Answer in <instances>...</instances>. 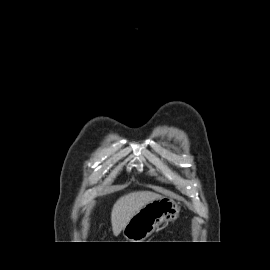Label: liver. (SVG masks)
<instances>
[{
  "mask_svg": "<svg viewBox=\"0 0 270 270\" xmlns=\"http://www.w3.org/2000/svg\"><path fill=\"white\" fill-rule=\"evenodd\" d=\"M161 197V195L151 191H135L120 197L111 211L113 234L118 236L137 211Z\"/></svg>",
  "mask_w": 270,
  "mask_h": 270,
  "instance_id": "liver-1",
  "label": "liver"
}]
</instances>
